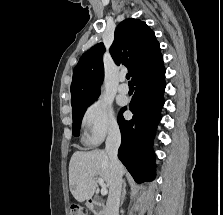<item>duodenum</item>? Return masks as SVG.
<instances>
[{
  "label": "duodenum",
  "instance_id": "410a0bca",
  "mask_svg": "<svg viewBox=\"0 0 223 215\" xmlns=\"http://www.w3.org/2000/svg\"><path fill=\"white\" fill-rule=\"evenodd\" d=\"M87 207L92 215H106L105 206L101 200L88 199Z\"/></svg>",
  "mask_w": 223,
  "mask_h": 215
}]
</instances>
